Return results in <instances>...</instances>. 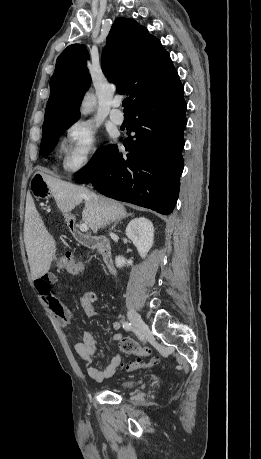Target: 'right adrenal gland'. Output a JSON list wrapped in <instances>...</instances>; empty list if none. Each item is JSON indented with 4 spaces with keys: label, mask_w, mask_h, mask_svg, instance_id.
I'll list each match as a JSON object with an SVG mask.
<instances>
[{
    "label": "right adrenal gland",
    "mask_w": 261,
    "mask_h": 459,
    "mask_svg": "<svg viewBox=\"0 0 261 459\" xmlns=\"http://www.w3.org/2000/svg\"><path fill=\"white\" fill-rule=\"evenodd\" d=\"M133 216H134L133 213H129V214H127V215H126L124 218H122V219H125V218H127V217H133ZM120 221H121V219L116 220V221L114 222L113 226L111 227V229L114 230L115 227L117 226V224H118Z\"/></svg>",
    "instance_id": "right-adrenal-gland-1"
}]
</instances>
